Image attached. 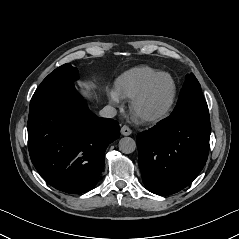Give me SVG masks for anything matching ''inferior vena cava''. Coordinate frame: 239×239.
Instances as JSON below:
<instances>
[{"label":"inferior vena cava","instance_id":"obj_1","mask_svg":"<svg viewBox=\"0 0 239 239\" xmlns=\"http://www.w3.org/2000/svg\"><path fill=\"white\" fill-rule=\"evenodd\" d=\"M116 114H117L116 109H115L114 107H112V106H109V105L105 106V107H104L102 110H100V112H99V115H100L101 117H105V118H113V117L116 116Z\"/></svg>","mask_w":239,"mask_h":239}]
</instances>
